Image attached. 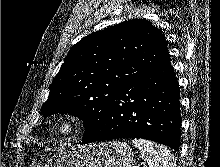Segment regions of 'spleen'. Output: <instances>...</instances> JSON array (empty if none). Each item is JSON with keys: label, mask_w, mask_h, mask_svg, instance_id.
Here are the masks:
<instances>
[{"label": "spleen", "mask_w": 220, "mask_h": 167, "mask_svg": "<svg viewBox=\"0 0 220 167\" xmlns=\"http://www.w3.org/2000/svg\"><path fill=\"white\" fill-rule=\"evenodd\" d=\"M134 147L141 152V157L148 167H176L170 150L162 145L145 139H133Z\"/></svg>", "instance_id": "spleen-1"}]
</instances>
